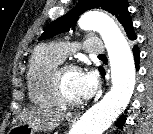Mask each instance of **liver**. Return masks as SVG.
Segmentation results:
<instances>
[{
    "instance_id": "1",
    "label": "liver",
    "mask_w": 153,
    "mask_h": 134,
    "mask_svg": "<svg viewBox=\"0 0 153 134\" xmlns=\"http://www.w3.org/2000/svg\"><path fill=\"white\" fill-rule=\"evenodd\" d=\"M68 114L62 110H53V109H39V108H30L25 109L20 114L19 119L21 122H35L38 126H41L45 130H52L63 121Z\"/></svg>"
}]
</instances>
